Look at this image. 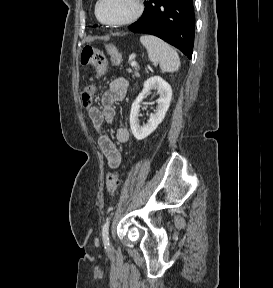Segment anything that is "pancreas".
Here are the masks:
<instances>
[{"label": "pancreas", "instance_id": "1", "mask_svg": "<svg viewBox=\"0 0 273 288\" xmlns=\"http://www.w3.org/2000/svg\"><path fill=\"white\" fill-rule=\"evenodd\" d=\"M129 71L133 73V77H138L139 76V73H138L139 68L138 67H135L133 69H129Z\"/></svg>", "mask_w": 273, "mask_h": 288}]
</instances>
